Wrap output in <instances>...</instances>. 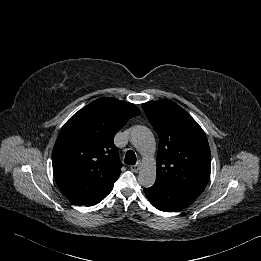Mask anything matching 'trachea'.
<instances>
[{
    "label": "trachea",
    "instance_id": "trachea-1",
    "mask_svg": "<svg viewBox=\"0 0 261 261\" xmlns=\"http://www.w3.org/2000/svg\"><path fill=\"white\" fill-rule=\"evenodd\" d=\"M125 164L128 165H135L136 164V155L134 151L128 150L126 155H125Z\"/></svg>",
    "mask_w": 261,
    "mask_h": 261
}]
</instances>
